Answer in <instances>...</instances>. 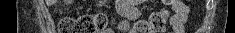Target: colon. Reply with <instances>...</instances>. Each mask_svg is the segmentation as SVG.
Wrapping results in <instances>:
<instances>
[{"instance_id":"colon-1","label":"colon","mask_w":235,"mask_h":33,"mask_svg":"<svg viewBox=\"0 0 235 33\" xmlns=\"http://www.w3.org/2000/svg\"><path fill=\"white\" fill-rule=\"evenodd\" d=\"M172 0L165 1L171 3ZM168 19L165 9L153 12L148 21H139L131 29L130 33H159L163 32ZM111 20L103 13L83 14L78 17H67L60 21L59 33H104L109 30ZM122 29H128L126 23H121Z\"/></svg>"}]
</instances>
